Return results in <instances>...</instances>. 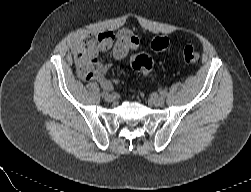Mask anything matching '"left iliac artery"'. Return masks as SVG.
Segmentation results:
<instances>
[{
    "label": "left iliac artery",
    "mask_w": 251,
    "mask_h": 192,
    "mask_svg": "<svg viewBox=\"0 0 251 192\" xmlns=\"http://www.w3.org/2000/svg\"><path fill=\"white\" fill-rule=\"evenodd\" d=\"M160 94H161V96L164 97V96H166V91H161Z\"/></svg>",
    "instance_id": "44dca946"
}]
</instances>
